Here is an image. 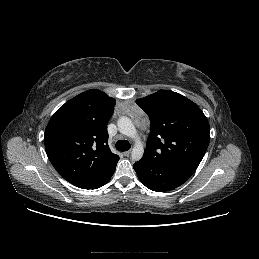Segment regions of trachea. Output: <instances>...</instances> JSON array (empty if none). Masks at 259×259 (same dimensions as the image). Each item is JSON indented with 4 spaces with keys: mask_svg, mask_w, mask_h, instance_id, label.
I'll use <instances>...</instances> for the list:
<instances>
[{
    "mask_svg": "<svg viewBox=\"0 0 259 259\" xmlns=\"http://www.w3.org/2000/svg\"><path fill=\"white\" fill-rule=\"evenodd\" d=\"M130 148H131V145L127 140H119L116 142V149L118 151H127Z\"/></svg>",
    "mask_w": 259,
    "mask_h": 259,
    "instance_id": "3493384b",
    "label": "trachea"
}]
</instances>
